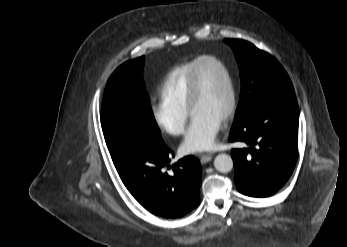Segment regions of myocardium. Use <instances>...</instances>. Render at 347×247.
Segmentation results:
<instances>
[{
	"mask_svg": "<svg viewBox=\"0 0 347 247\" xmlns=\"http://www.w3.org/2000/svg\"><path fill=\"white\" fill-rule=\"evenodd\" d=\"M205 61H210L215 63L223 70V72L226 75L228 87H229V103L222 120L228 121L234 116L236 107H237L236 86H235L233 75L230 69L228 68V66L221 59L213 55H204L199 57L191 71V76H190V81L188 86V94H187L188 111L190 114H192V109L199 98L200 86H199V78H198V69H199V66Z\"/></svg>",
	"mask_w": 347,
	"mask_h": 247,
	"instance_id": "myocardium-1",
	"label": "myocardium"
}]
</instances>
